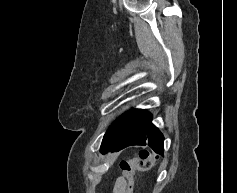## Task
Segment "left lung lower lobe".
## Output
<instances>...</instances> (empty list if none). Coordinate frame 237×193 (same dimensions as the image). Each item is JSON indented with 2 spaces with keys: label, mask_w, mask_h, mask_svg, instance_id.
Wrapping results in <instances>:
<instances>
[{
  "label": "left lung lower lobe",
  "mask_w": 237,
  "mask_h": 193,
  "mask_svg": "<svg viewBox=\"0 0 237 193\" xmlns=\"http://www.w3.org/2000/svg\"><path fill=\"white\" fill-rule=\"evenodd\" d=\"M152 115L146 110L135 109L129 123L116 143L100 149L102 153L119 151L131 145H148L157 154L163 155L164 137L152 124Z\"/></svg>",
  "instance_id": "obj_1"
}]
</instances>
